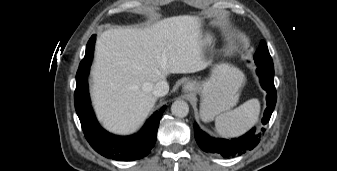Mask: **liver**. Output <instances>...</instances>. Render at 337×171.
<instances>
[{"label": "liver", "instance_id": "1", "mask_svg": "<svg viewBox=\"0 0 337 171\" xmlns=\"http://www.w3.org/2000/svg\"><path fill=\"white\" fill-rule=\"evenodd\" d=\"M203 42L195 16L165 18L143 29L117 28L98 38L92 68V99L105 127L135 132L157 101L152 87L171 73L204 68Z\"/></svg>", "mask_w": 337, "mask_h": 171}]
</instances>
